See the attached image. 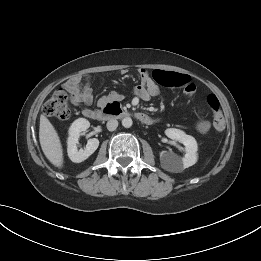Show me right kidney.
I'll return each instance as SVG.
<instances>
[{"label":"right kidney","mask_w":261,"mask_h":261,"mask_svg":"<svg viewBox=\"0 0 261 261\" xmlns=\"http://www.w3.org/2000/svg\"><path fill=\"white\" fill-rule=\"evenodd\" d=\"M90 127L88 120L79 118L75 120L69 128V137L67 140V152L72 162L80 163L92 155L99 146V140L89 139L84 149L77 148L79 137Z\"/></svg>","instance_id":"1"}]
</instances>
